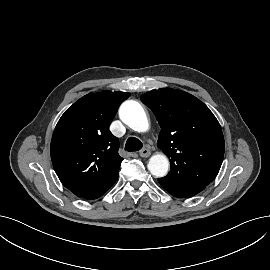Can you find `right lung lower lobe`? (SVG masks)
I'll return each mask as SVG.
<instances>
[{"instance_id":"1","label":"right lung lower lobe","mask_w":270,"mask_h":270,"mask_svg":"<svg viewBox=\"0 0 270 270\" xmlns=\"http://www.w3.org/2000/svg\"><path fill=\"white\" fill-rule=\"evenodd\" d=\"M108 189H109V188H107V189H105V190H103V191H101V192H99V193L85 196V197H83V198H85V199H96V198L102 196Z\"/></svg>"}]
</instances>
